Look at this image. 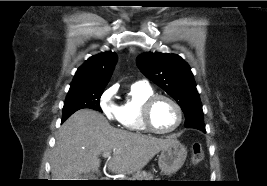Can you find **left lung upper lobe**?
I'll return each mask as SVG.
<instances>
[{
    "label": "left lung upper lobe",
    "mask_w": 267,
    "mask_h": 186,
    "mask_svg": "<svg viewBox=\"0 0 267 186\" xmlns=\"http://www.w3.org/2000/svg\"><path fill=\"white\" fill-rule=\"evenodd\" d=\"M142 73L180 105L187 128L205 131L202 105L189 65L176 54L145 52L137 57Z\"/></svg>",
    "instance_id": "1"
}]
</instances>
